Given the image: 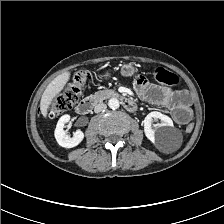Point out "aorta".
Wrapping results in <instances>:
<instances>
[{
  "label": "aorta",
  "mask_w": 224,
  "mask_h": 224,
  "mask_svg": "<svg viewBox=\"0 0 224 224\" xmlns=\"http://www.w3.org/2000/svg\"><path fill=\"white\" fill-rule=\"evenodd\" d=\"M108 106L113 110L119 108V106H120L119 100L117 98L109 99Z\"/></svg>",
  "instance_id": "aorta-1"
}]
</instances>
